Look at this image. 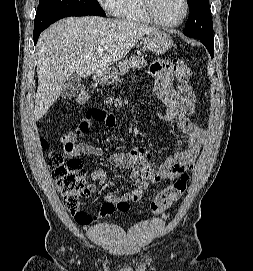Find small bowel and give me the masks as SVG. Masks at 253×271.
<instances>
[{"instance_id":"obj_1","label":"small bowel","mask_w":253,"mask_h":271,"mask_svg":"<svg viewBox=\"0 0 253 271\" xmlns=\"http://www.w3.org/2000/svg\"><path fill=\"white\" fill-rule=\"evenodd\" d=\"M150 72L154 76L155 90L166 105V110L158 113L159 120L175 122L181 128L186 139L183 142L182 150L159 166H152L149 163L152 153L149 148L144 146L137 147L128 153H113L110 157V164L117 168L130 170V178L136 186L122 196L112 192L107 193L105 195L106 202L99 211V217L110 215L114 211L112 205L119 200H127L128 202L140 200L150 182L174 180L188 176L187 172L193 168L200 146L205 139V132L190 118L195 113V95L186 82L189 73L166 61L154 63ZM175 81L180 82L178 87L174 86ZM93 122L112 128L115 126V117L108 112V117L99 121L87 115L78 124L75 131L62 137L61 141L66 156L103 155V146L76 141L77 136L86 133ZM91 179L99 184H104L108 179V173L103 169L94 170L91 172ZM92 189L94 186H91ZM105 204L111 205V207H105Z\"/></svg>"}]
</instances>
